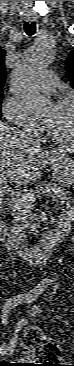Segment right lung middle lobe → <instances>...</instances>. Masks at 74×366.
<instances>
[{"label": "right lung middle lobe", "mask_w": 74, "mask_h": 366, "mask_svg": "<svg viewBox=\"0 0 74 366\" xmlns=\"http://www.w3.org/2000/svg\"><path fill=\"white\" fill-rule=\"evenodd\" d=\"M2 99H3V91L0 92V102L2 101Z\"/></svg>", "instance_id": "dd1d6c3e"}]
</instances>
